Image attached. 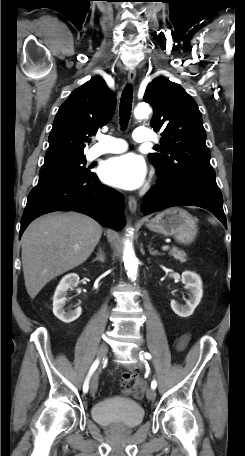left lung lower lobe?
<instances>
[{
	"label": "left lung lower lobe",
	"instance_id": "left-lung-lower-lobe-1",
	"mask_svg": "<svg viewBox=\"0 0 245 456\" xmlns=\"http://www.w3.org/2000/svg\"><path fill=\"white\" fill-rule=\"evenodd\" d=\"M158 185L143 198L141 211L147 215L168 207L192 205L213 213L226 227L223 198L216 182L159 176Z\"/></svg>",
	"mask_w": 245,
	"mask_h": 456
}]
</instances>
